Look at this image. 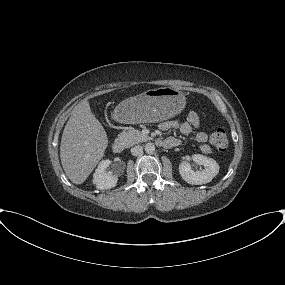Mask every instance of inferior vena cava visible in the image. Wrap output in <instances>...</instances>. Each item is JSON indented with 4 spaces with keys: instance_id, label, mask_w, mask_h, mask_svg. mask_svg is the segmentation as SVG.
<instances>
[{
    "instance_id": "1",
    "label": "inferior vena cava",
    "mask_w": 285,
    "mask_h": 285,
    "mask_svg": "<svg viewBox=\"0 0 285 285\" xmlns=\"http://www.w3.org/2000/svg\"><path fill=\"white\" fill-rule=\"evenodd\" d=\"M131 153L134 156L141 155L143 153V147L140 145H137V146L131 148Z\"/></svg>"
}]
</instances>
